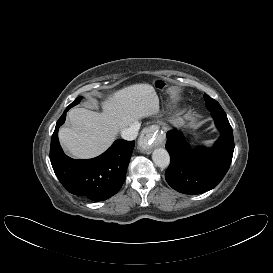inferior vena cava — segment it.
<instances>
[{"label":"inferior vena cava","mask_w":273,"mask_h":273,"mask_svg":"<svg viewBox=\"0 0 273 273\" xmlns=\"http://www.w3.org/2000/svg\"><path fill=\"white\" fill-rule=\"evenodd\" d=\"M140 123L138 121L131 124L129 127L121 130V136L125 140H134L138 135Z\"/></svg>","instance_id":"inferior-vena-cava-1"}]
</instances>
